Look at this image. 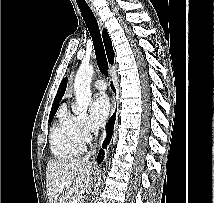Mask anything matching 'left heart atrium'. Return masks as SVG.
I'll use <instances>...</instances> for the list:
<instances>
[{
    "label": "left heart atrium",
    "mask_w": 214,
    "mask_h": 203,
    "mask_svg": "<svg viewBox=\"0 0 214 203\" xmlns=\"http://www.w3.org/2000/svg\"><path fill=\"white\" fill-rule=\"evenodd\" d=\"M110 111L109 101L104 94L98 95L90 106V120L96 127L102 126Z\"/></svg>",
    "instance_id": "1"
}]
</instances>
